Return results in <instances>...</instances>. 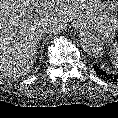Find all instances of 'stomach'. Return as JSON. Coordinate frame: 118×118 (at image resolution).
Masks as SVG:
<instances>
[{"instance_id":"stomach-1","label":"stomach","mask_w":118,"mask_h":118,"mask_svg":"<svg viewBox=\"0 0 118 118\" xmlns=\"http://www.w3.org/2000/svg\"><path fill=\"white\" fill-rule=\"evenodd\" d=\"M93 24L95 31L104 41H111L118 30V20L108 11L97 14Z\"/></svg>"}]
</instances>
